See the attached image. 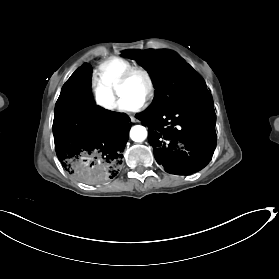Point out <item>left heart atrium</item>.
I'll return each instance as SVG.
<instances>
[{"label": "left heart atrium", "instance_id": "39dd6f15", "mask_svg": "<svg viewBox=\"0 0 279 279\" xmlns=\"http://www.w3.org/2000/svg\"><path fill=\"white\" fill-rule=\"evenodd\" d=\"M142 106H143V101H131L122 98L120 102V110L124 112H135L141 109Z\"/></svg>", "mask_w": 279, "mask_h": 279}]
</instances>
